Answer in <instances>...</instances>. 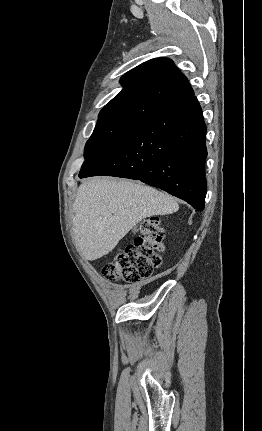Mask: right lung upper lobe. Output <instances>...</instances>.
<instances>
[{"instance_id":"1","label":"right lung upper lobe","mask_w":262,"mask_h":431,"mask_svg":"<svg viewBox=\"0 0 262 431\" xmlns=\"http://www.w3.org/2000/svg\"><path fill=\"white\" fill-rule=\"evenodd\" d=\"M122 91L101 110L96 125L132 124L194 97L187 78L172 60L155 58L121 78Z\"/></svg>"}]
</instances>
